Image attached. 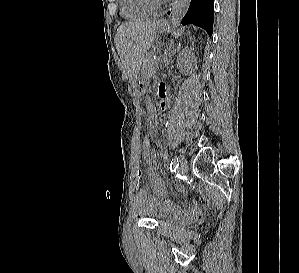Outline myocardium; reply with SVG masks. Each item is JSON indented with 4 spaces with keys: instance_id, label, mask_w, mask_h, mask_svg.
Wrapping results in <instances>:
<instances>
[{
    "instance_id": "f54148a6",
    "label": "myocardium",
    "mask_w": 299,
    "mask_h": 273,
    "mask_svg": "<svg viewBox=\"0 0 299 273\" xmlns=\"http://www.w3.org/2000/svg\"><path fill=\"white\" fill-rule=\"evenodd\" d=\"M166 0L154 1V0H139L144 8L150 12H155L159 10Z\"/></svg>"
}]
</instances>
